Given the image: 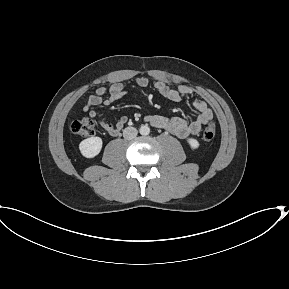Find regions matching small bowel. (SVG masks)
Instances as JSON below:
<instances>
[{
    "label": "small bowel",
    "mask_w": 289,
    "mask_h": 289,
    "mask_svg": "<svg viewBox=\"0 0 289 289\" xmlns=\"http://www.w3.org/2000/svg\"><path fill=\"white\" fill-rule=\"evenodd\" d=\"M150 84V79L146 77L136 79V85L139 87H147ZM153 86L162 97L173 102H180L184 97L191 98L192 106L197 112L196 118L191 121L178 116L165 117L157 114L146 116V120L154 127L164 129L178 138L185 139L197 135L202 126L213 118L212 110L207 103L195 98L194 92L190 87L178 85L172 88L162 80L155 81ZM126 95V86L123 82H116L109 88L100 87L95 91V94L88 97L83 111L88 113L91 118H96V111L93 109L95 106H109ZM127 120V117L123 116L115 124L108 123L103 119H98L97 121L103 130L115 136L121 131Z\"/></svg>",
    "instance_id": "c3829d8e"
}]
</instances>
